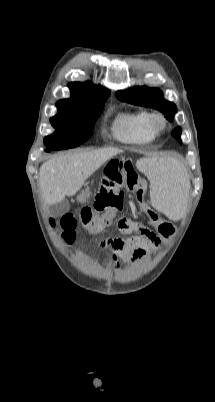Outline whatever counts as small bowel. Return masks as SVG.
<instances>
[{
    "label": "small bowel",
    "instance_id": "c3829d8e",
    "mask_svg": "<svg viewBox=\"0 0 215 402\" xmlns=\"http://www.w3.org/2000/svg\"><path fill=\"white\" fill-rule=\"evenodd\" d=\"M123 233L136 232L138 236L128 239L114 238L103 241L101 246L110 251V258L120 256L128 263H135L148 255L162 245V239L152 229L135 222L133 227L121 230Z\"/></svg>",
    "mask_w": 215,
    "mask_h": 402
}]
</instances>
